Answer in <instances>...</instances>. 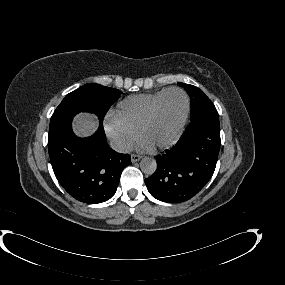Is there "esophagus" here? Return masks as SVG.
<instances>
[{
	"mask_svg": "<svg viewBox=\"0 0 285 285\" xmlns=\"http://www.w3.org/2000/svg\"><path fill=\"white\" fill-rule=\"evenodd\" d=\"M141 159V156L137 154H131V161L132 163L138 162Z\"/></svg>",
	"mask_w": 285,
	"mask_h": 285,
	"instance_id": "obj_1",
	"label": "esophagus"
}]
</instances>
